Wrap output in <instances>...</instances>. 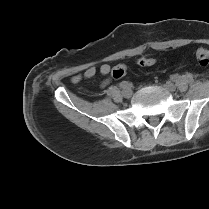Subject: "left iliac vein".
Segmentation results:
<instances>
[{"mask_svg": "<svg viewBox=\"0 0 209 209\" xmlns=\"http://www.w3.org/2000/svg\"><path fill=\"white\" fill-rule=\"evenodd\" d=\"M164 88L170 92H174L176 90V86L175 84H173L172 82L168 81L165 83Z\"/></svg>", "mask_w": 209, "mask_h": 209, "instance_id": "obj_1", "label": "left iliac vein"}]
</instances>
